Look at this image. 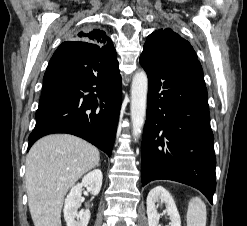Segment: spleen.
Returning a JSON list of instances; mask_svg holds the SVG:
<instances>
[{"label": "spleen", "mask_w": 247, "mask_h": 226, "mask_svg": "<svg viewBox=\"0 0 247 226\" xmlns=\"http://www.w3.org/2000/svg\"><path fill=\"white\" fill-rule=\"evenodd\" d=\"M206 205L199 197L190 200L187 211V226H206Z\"/></svg>", "instance_id": "1"}]
</instances>
